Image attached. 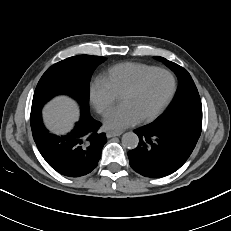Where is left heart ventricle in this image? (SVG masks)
Segmentation results:
<instances>
[{
  "label": "left heart ventricle",
  "instance_id": "left-heart-ventricle-1",
  "mask_svg": "<svg viewBox=\"0 0 231 231\" xmlns=\"http://www.w3.org/2000/svg\"><path fill=\"white\" fill-rule=\"evenodd\" d=\"M172 88V79L166 73L151 76L135 93L121 99L129 105L139 119L153 113L166 99Z\"/></svg>",
  "mask_w": 231,
  "mask_h": 231
}]
</instances>
